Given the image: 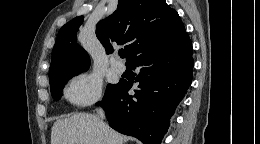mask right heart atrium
Here are the masks:
<instances>
[{
  "label": "right heart atrium",
  "instance_id": "1",
  "mask_svg": "<svg viewBox=\"0 0 260 144\" xmlns=\"http://www.w3.org/2000/svg\"><path fill=\"white\" fill-rule=\"evenodd\" d=\"M102 84L93 73H81L73 77L65 87L67 100L75 105H89L101 98Z\"/></svg>",
  "mask_w": 260,
  "mask_h": 144
}]
</instances>
